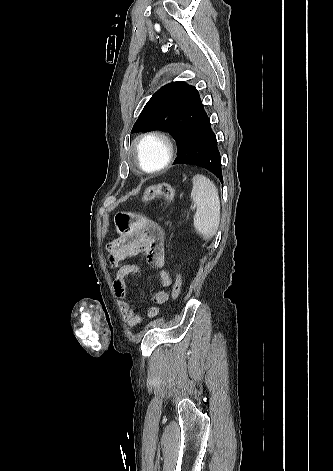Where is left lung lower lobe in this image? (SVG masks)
Listing matches in <instances>:
<instances>
[{"label":"left lung lower lobe","instance_id":"0a47b994","mask_svg":"<svg viewBox=\"0 0 333 471\" xmlns=\"http://www.w3.org/2000/svg\"><path fill=\"white\" fill-rule=\"evenodd\" d=\"M173 164L201 166L214 173L223 183L221 157L216 135L212 131L207 114L197 125L190 141L177 155Z\"/></svg>","mask_w":333,"mask_h":471}]
</instances>
